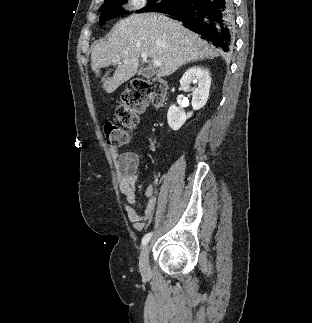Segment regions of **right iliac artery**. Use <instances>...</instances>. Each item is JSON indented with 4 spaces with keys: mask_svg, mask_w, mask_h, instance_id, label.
I'll use <instances>...</instances> for the list:
<instances>
[{
    "mask_svg": "<svg viewBox=\"0 0 312 323\" xmlns=\"http://www.w3.org/2000/svg\"><path fill=\"white\" fill-rule=\"evenodd\" d=\"M151 236H152L151 232L145 234L144 237L142 238V245H146L149 242Z\"/></svg>",
    "mask_w": 312,
    "mask_h": 323,
    "instance_id": "right-iliac-artery-1",
    "label": "right iliac artery"
}]
</instances>
